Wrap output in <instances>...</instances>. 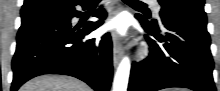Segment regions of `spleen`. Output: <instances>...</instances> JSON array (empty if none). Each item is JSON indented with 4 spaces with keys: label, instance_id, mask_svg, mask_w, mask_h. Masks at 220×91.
<instances>
[{
    "label": "spleen",
    "instance_id": "obj_1",
    "mask_svg": "<svg viewBox=\"0 0 220 91\" xmlns=\"http://www.w3.org/2000/svg\"><path fill=\"white\" fill-rule=\"evenodd\" d=\"M174 91H185V90H174Z\"/></svg>",
    "mask_w": 220,
    "mask_h": 91
}]
</instances>
